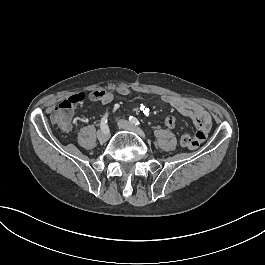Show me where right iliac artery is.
I'll return each instance as SVG.
<instances>
[{
	"label": "right iliac artery",
	"mask_w": 265,
	"mask_h": 265,
	"mask_svg": "<svg viewBox=\"0 0 265 265\" xmlns=\"http://www.w3.org/2000/svg\"><path fill=\"white\" fill-rule=\"evenodd\" d=\"M107 116L108 114H105V116H103V118L101 119V123H100V128L102 131H108V125H107Z\"/></svg>",
	"instance_id": "obj_1"
}]
</instances>
